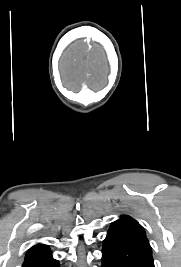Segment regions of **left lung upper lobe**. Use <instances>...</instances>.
<instances>
[{
    "label": "left lung upper lobe",
    "mask_w": 181,
    "mask_h": 267,
    "mask_svg": "<svg viewBox=\"0 0 181 267\" xmlns=\"http://www.w3.org/2000/svg\"><path fill=\"white\" fill-rule=\"evenodd\" d=\"M115 222L127 223V224L133 226L134 228H136L137 230H139L140 232L145 234L142 226L137 221L130 218L129 216H121V218Z\"/></svg>",
    "instance_id": "left-lung-upper-lobe-1"
}]
</instances>
